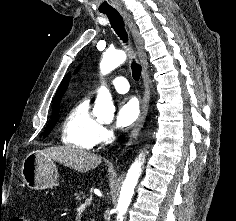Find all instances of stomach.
Instances as JSON below:
<instances>
[{
  "label": "stomach",
  "mask_w": 236,
  "mask_h": 221,
  "mask_svg": "<svg viewBox=\"0 0 236 221\" xmlns=\"http://www.w3.org/2000/svg\"><path fill=\"white\" fill-rule=\"evenodd\" d=\"M21 176L29 188L43 190L55 185L58 171L51 158L42 154L41 151H34L23 160Z\"/></svg>",
  "instance_id": "obj_1"
}]
</instances>
